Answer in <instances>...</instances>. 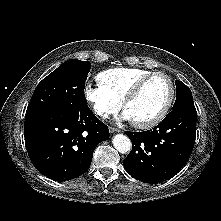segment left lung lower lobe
Returning a JSON list of instances; mask_svg holds the SVG:
<instances>
[{"label": "left lung lower lobe", "mask_w": 221, "mask_h": 221, "mask_svg": "<svg viewBox=\"0 0 221 221\" xmlns=\"http://www.w3.org/2000/svg\"><path fill=\"white\" fill-rule=\"evenodd\" d=\"M196 120V109H176L152 130L127 131L133 148L124 160L125 170L146 183H157L172 177L192 153Z\"/></svg>", "instance_id": "1"}]
</instances>
